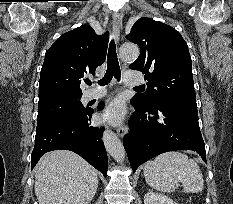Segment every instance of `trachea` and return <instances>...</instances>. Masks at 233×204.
Segmentation results:
<instances>
[{"label": "trachea", "instance_id": "obj_1", "mask_svg": "<svg viewBox=\"0 0 233 204\" xmlns=\"http://www.w3.org/2000/svg\"><path fill=\"white\" fill-rule=\"evenodd\" d=\"M120 74H121V71H120L119 62L117 58L116 46H115L114 40H112L110 42L109 50H108L107 70H106L104 77L100 81H98V84L101 86L108 85V83L111 81L113 77H115L119 81ZM86 83L88 85H91V81L89 80Z\"/></svg>", "mask_w": 233, "mask_h": 204}]
</instances>
